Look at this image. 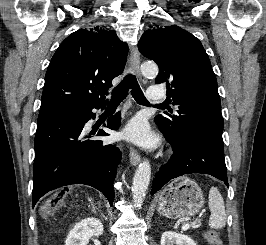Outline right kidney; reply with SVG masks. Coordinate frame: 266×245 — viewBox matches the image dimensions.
Segmentation results:
<instances>
[{"label": "right kidney", "mask_w": 266, "mask_h": 245, "mask_svg": "<svg viewBox=\"0 0 266 245\" xmlns=\"http://www.w3.org/2000/svg\"><path fill=\"white\" fill-rule=\"evenodd\" d=\"M103 233L104 229L101 221L94 219V217L83 219V221L76 223L75 227L69 231L66 245H87L91 237H99Z\"/></svg>", "instance_id": "ca27d5eb"}]
</instances>
